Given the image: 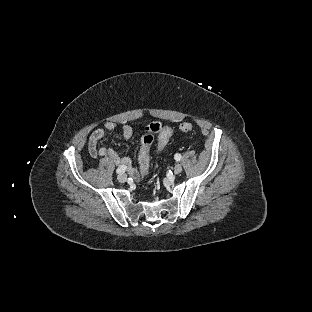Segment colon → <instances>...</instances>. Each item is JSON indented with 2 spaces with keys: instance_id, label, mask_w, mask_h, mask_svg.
I'll use <instances>...</instances> for the list:
<instances>
[{
  "instance_id": "obj_1",
  "label": "colon",
  "mask_w": 312,
  "mask_h": 312,
  "mask_svg": "<svg viewBox=\"0 0 312 312\" xmlns=\"http://www.w3.org/2000/svg\"><path fill=\"white\" fill-rule=\"evenodd\" d=\"M161 129V125L159 122H152L146 128V135L141 140V151L138 154V162H139V172L145 177L148 174L149 167H150V153L146 149L147 146L152 142L155 138V134L158 133ZM192 126L190 123L185 122L181 126V130L185 133L190 132ZM174 132L172 129L167 128L163 130L157 137L155 141V148L157 151L162 152L166 148V142L172 138Z\"/></svg>"
}]
</instances>
